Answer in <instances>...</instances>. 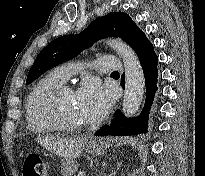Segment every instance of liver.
I'll return each mask as SVG.
<instances>
[{
	"label": "liver",
	"instance_id": "obj_1",
	"mask_svg": "<svg viewBox=\"0 0 205 176\" xmlns=\"http://www.w3.org/2000/svg\"><path fill=\"white\" fill-rule=\"evenodd\" d=\"M47 150L63 157L73 159L79 157L85 145L86 138L63 139L59 137H38L36 139Z\"/></svg>",
	"mask_w": 205,
	"mask_h": 176
}]
</instances>
